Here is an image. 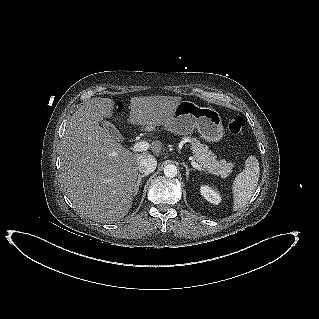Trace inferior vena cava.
I'll return each instance as SVG.
<instances>
[{"label": "inferior vena cava", "mask_w": 319, "mask_h": 319, "mask_svg": "<svg viewBox=\"0 0 319 319\" xmlns=\"http://www.w3.org/2000/svg\"><path fill=\"white\" fill-rule=\"evenodd\" d=\"M157 167V161L152 155L141 157L139 160L138 171L144 175H148Z\"/></svg>", "instance_id": "inferior-vena-cava-1"}]
</instances>
